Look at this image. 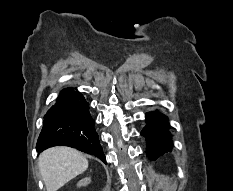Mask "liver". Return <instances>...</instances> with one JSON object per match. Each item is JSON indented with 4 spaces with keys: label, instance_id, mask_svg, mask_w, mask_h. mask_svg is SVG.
Listing matches in <instances>:
<instances>
[{
    "label": "liver",
    "instance_id": "obj_1",
    "mask_svg": "<svg viewBox=\"0 0 233 191\" xmlns=\"http://www.w3.org/2000/svg\"><path fill=\"white\" fill-rule=\"evenodd\" d=\"M38 166L47 191H57L87 170L88 160L76 149L59 146L42 152Z\"/></svg>",
    "mask_w": 233,
    "mask_h": 191
}]
</instances>
